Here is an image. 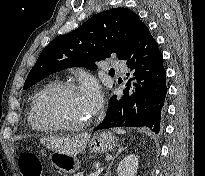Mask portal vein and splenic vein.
<instances>
[{
	"instance_id": "1",
	"label": "portal vein and splenic vein",
	"mask_w": 205,
	"mask_h": 176,
	"mask_svg": "<svg viewBox=\"0 0 205 176\" xmlns=\"http://www.w3.org/2000/svg\"><path fill=\"white\" fill-rule=\"evenodd\" d=\"M103 171V168H99L93 176H98Z\"/></svg>"
}]
</instances>
